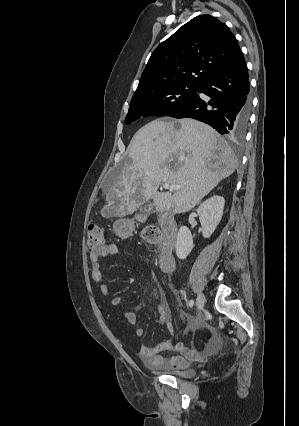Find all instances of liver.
I'll list each match as a JSON object with an SVG mask.
<instances>
[{
    "instance_id": "1",
    "label": "liver",
    "mask_w": 299,
    "mask_h": 426,
    "mask_svg": "<svg viewBox=\"0 0 299 426\" xmlns=\"http://www.w3.org/2000/svg\"><path fill=\"white\" fill-rule=\"evenodd\" d=\"M131 164L104 189L103 216L124 217L153 199L156 211L185 213L229 177L237 160L227 142L210 126L194 119L153 120L140 128L129 145ZM162 183L181 185L158 192Z\"/></svg>"
}]
</instances>
